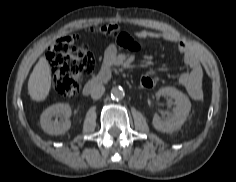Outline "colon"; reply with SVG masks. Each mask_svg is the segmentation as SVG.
<instances>
[{
    "label": "colon",
    "mask_w": 236,
    "mask_h": 182,
    "mask_svg": "<svg viewBox=\"0 0 236 182\" xmlns=\"http://www.w3.org/2000/svg\"><path fill=\"white\" fill-rule=\"evenodd\" d=\"M102 33L114 38L123 48L138 51L140 45L118 27L108 25L99 29ZM73 37L67 36L56 40L48 48V60L53 74V88L63 97H72L79 91L83 77L95 69L94 55L83 45H72ZM156 80L148 74L140 79V86L145 89L154 87Z\"/></svg>",
    "instance_id": "colon-1"
}]
</instances>
